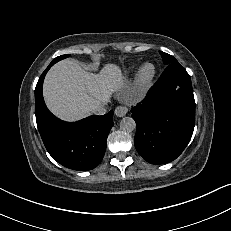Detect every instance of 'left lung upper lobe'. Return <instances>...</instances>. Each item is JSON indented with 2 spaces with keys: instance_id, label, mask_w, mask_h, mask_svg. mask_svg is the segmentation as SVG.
Here are the masks:
<instances>
[{
  "instance_id": "5c2ea615",
  "label": "left lung upper lobe",
  "mask_w": 231,
  "mask_h": 231,
  "mask_svg": "<svg viewBox=\"0 0 231 231\" xmlns=\"http://www.w3.org/2000/svg\"><path fill=\"white\" fill-rule=\"evenodd\" d=\"M160 54H161V56L163 58L164 64L167 65V66L172 64V63H177L178 62L173 56H171V55H169L167 53H164V52L160 51Z\"/></svg>"
}]
</instances>
